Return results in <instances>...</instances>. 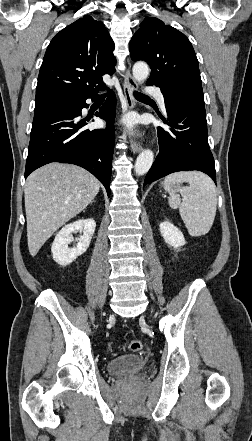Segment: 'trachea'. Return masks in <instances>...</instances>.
Listing matches in <instances>:
<instances>
[{
    "label": "trachea",
    "instance_id": "3493384b",
    "mask_svg": "<svg viewBox=\"0 0 252 441\" xmlns=\"http://www.w3.org/2000/svg\"><path fill=\"white\" fill-rule=\"evenodd\" d=\"M133 94L137 99H150V97L139 92H134Z\"/></svg>",
    "mask_w": 252,
    "mask_h": 441
}]
</instances>
